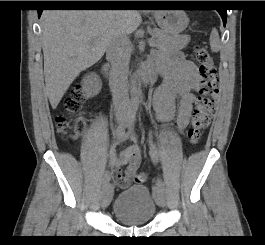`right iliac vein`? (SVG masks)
I'll return each mask as SVG.
<instances>
[{
	"label": "right iliac vein",
	"instance_id": "1",
	"mask_svg": "<svg viewBox=\"0 0 265 245\" xmlns=\"http://www.w3.org/2000/svg\"><path fill=\"white\" fill-rule=\"evenodd\" d=\"M124 120L125 118L122 116L117 118V122L119 124L123 123ZM113 191H114V188L111 184H107L103 187L102 196H101V206L103 208L107 207L110 204L112 196H113Z\"/></svg>",
	"mask_w": 265,
	"mask_h": 245
}]
</instances>
